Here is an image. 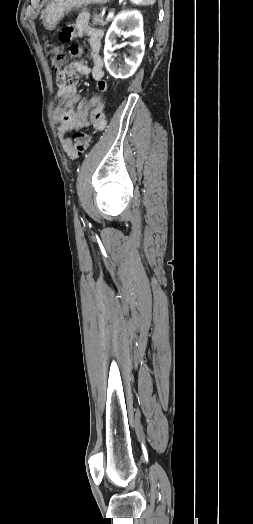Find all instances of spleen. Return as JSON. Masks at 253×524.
<instances>
[{"label": "spleen", "mask_w": 253, "mask_h": 524, "mask_svg": "<svg viewBox=\"0 0 253 524\" xmlns=\"http://www.w3.org/2000/svg\"><path fill=\"white\" fill-rule=\"evenodd\" d=\"M135 5H153L156 0H130Z\"/></svg>", "instance_id": "3e777b00"}]
</instances>
